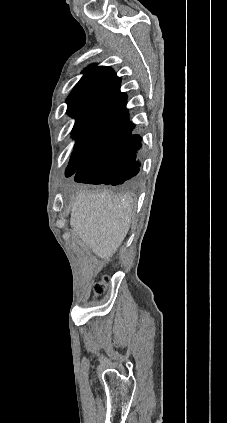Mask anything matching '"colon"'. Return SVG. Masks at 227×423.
Wrapping results in <instances>:
<instances>
[{
  "mask_svg": "<svg viewBox=\"0 0 227 423\" xmlns=\"http://www.w3.org/2000/svg\"><path fill=\"white\" fill-rule=\"evenodd\" d=\"M94 291L96 295H102L107 291V284L105 281L98 282L94 286Z\"/></svg>",
  "mask_w": 227,
  "mask_h": 423,
  "instance_id": "5ec220e1",
  "label": "colon"
}]
</instances>
